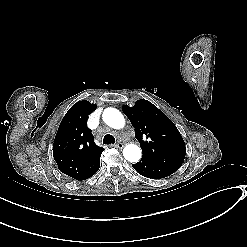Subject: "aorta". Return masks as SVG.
<instances>
[{
	"instance_id": "762f6f07",
	"label": "aorta",
	"mask_w": 247,
	"mask_h": 247,
	"mask_svg": "<svg viewBox=\"0 0 247 247\" xmlns=\"http://www.w3.org/2000/svg\"><path fill=\"white\" fill-rule=\"evenodd\" d=\"M103 120L114 129H121L125 125L124 116L115 108H106L103 112ZM123 156L127 161L138 162L141 159L142 151L136 144H127L123 149Z\"/></svg>"
}]
</instances>
